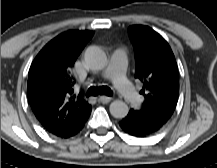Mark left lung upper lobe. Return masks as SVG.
Returning a JSON list of instances; mask_svg holds the SVG:
<instances>
[{
  "instance_id": "5c2ea615",
  "label": "left lung upper lobe",
  "mask_w": 217,
  "mask_h": 168,
  "mask_svg": "<svg viewBox=\"0 0 217 168\" xmlns=\"http://www.w3.org/2000/svg\"><path fill=\"white\" fill-rule=\"evenodd\" d=\"M128 34L135 53V77L143 83L140 114L166 123L178 101V67L168 42L145 25H132Z\"/></svg>"
}]
</instances>
